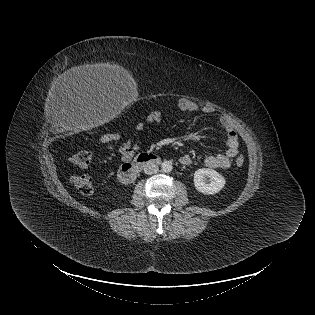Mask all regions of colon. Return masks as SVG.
<instances>
[{
  "instance_id": "1",
  "label": "colon",
  "mask_w": 315,
  "mask_h": 315,
  "mask_svg": "<svg viewBox=\"0 0 315 315\" xmlns=\"http://www.w3.org/2000/svg\"><path fill=\"white\" fill-rule=\"evenodd\" d=\"M118 138L119 137L117 134H105L102 136L101 140L103 142H112L116 141ZM91 160L92 154L88 150L78 151L71 157V162L79 168H87L91 163ZM244 162L245 159L243 155H239L235 160V164L238 167L243 166ZM71 182L77 188V190L84 195H90L93 192V180L88 175L74 176L72 177Z\"/></svg>"
}]
</instances>
